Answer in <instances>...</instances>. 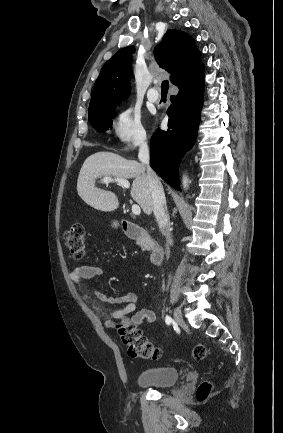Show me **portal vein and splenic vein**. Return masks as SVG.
Instances as JSON below:
<instances>
[{"mask_svg": "<svg viewBox=\"0 0 283 433\" xmlns=\"http://www.w3.org/2000/svg\"><path fill=\"white\" fill-rule=\"evenodd\" d=\"M102 180L103 182H119V184H122L124 188H129L130 186V182L129 180H126V178H112V176H103ZM132 212H134V214H140V206H138V204H132Z\"/></svg>", "mask_w": 283, "mask_h": 433, "instance_id": "portal-vein-and-splenic-vein-1", "label": "portal vein and splenic vein"}]
</instances>
